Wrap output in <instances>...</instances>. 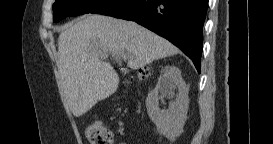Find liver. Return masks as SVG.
<instances>
[{
  "mask_svg": "<svg viewBox=\"0 0 273 144\" xmlns=\"http://www.w3.org/2000/svg\"><path fill=\"white\" fill-rule=\"evenodd\" d=\"M128 54L127 65L138 69L174 55L169 41L132 21L86 15L65 26L58 38V70L68 106L75 117L112 95L119 77L106 60Z\"/></svg>",
  "mask_w": 273,
  "mask_h": 144,
  "instance_id": "6515ba94",
  "label": "liver"
}]
</instances>
